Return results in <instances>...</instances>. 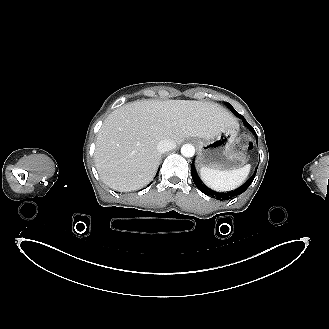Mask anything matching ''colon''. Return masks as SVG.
Returning <instances> with one entry per match:
<instances>
[{
    "mask_svg": "<svg viewBox=\"0 0 329 329\" xmlns=\"http://www.w3.org/2000/svg\"><path fill=\"white\" fill-rule=\"evenodd\" d=\"M246 142H247L248 144H250V140H249L248 138H246Z\"/></svg>",
    "mask_w": 329,
    "mask_h": 329,
    "instance_id": "5ec220e1",
    "label": "colon"
}]
</instances>
